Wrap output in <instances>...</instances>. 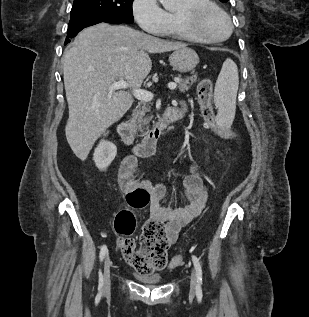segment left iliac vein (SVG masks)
Here are the masks:
<instances>
[{"label": "left iliac vein", "instance_id": "1", "mask_svg": "<svg viewBox=\"0 0 309 317\" xmlns=\"http://www.w3.org/2000/svg\"><path fill=\"white\" fill-rule=\"evenodd\" d=\"M196 286H197V277L194 271H192L191 274V281H190V288L191 291L194 293L196 291Z\"/></svg>", "mask_w": 309, "mask_h": 317}]
</instances>
